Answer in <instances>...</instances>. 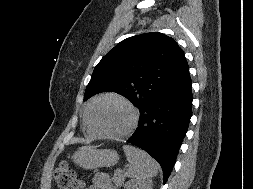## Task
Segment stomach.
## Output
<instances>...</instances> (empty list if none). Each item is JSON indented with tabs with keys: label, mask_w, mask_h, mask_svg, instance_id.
<instances>
[{
	"label": "stomach",
	"mask_w": 253,
	"mask_h": 189,
	"mask_svg": "<svg viewBox=\"0 0 253 189\" xmlns=\"http://www.w3.org/2000/svg\"><path fill=\"white\" fill-rule=\"evenodd\" d=\"M72 160L79 167L94 169L97 167H110L115 165L119 160V156L118 153L112 149L88 147L75 152L72 156Z\"/></svg>",
	"instance_id": "1"
}]
</instances>
